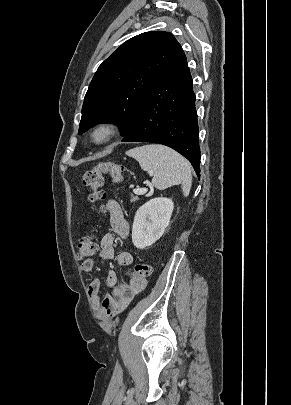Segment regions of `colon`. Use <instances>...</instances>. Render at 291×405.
Returning <instances> with one entry per match:
<instances>
[{
  "mask_svg": "<svg viewBox=\"0 0 291 405\" xmlns=\"http://www.w3.org/2000/svg\"><path fill=\"white\" fill-rule=\"evenodd\" d=\"M125 173L123 165L112 161L98 162L93 168L87 170L83 176V184L88 187L91 192L89 201L92 203H100L105 198V193L102 190L104 178L109 175L114 182H121ZM102 211L103 205L99 206ZM77 258L80 261H86L92 257L97 249L95 242L90 237H80L77 240ZM152 273V266L149 263H138L133 271L129 273L131 281L145 280Z\"/></svg>",
  "mask_w": 291,
  "mask_h": 405,
  "instance_id": "colon-1",
  "label": "colon"
}]
</instances>
